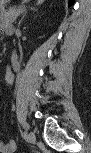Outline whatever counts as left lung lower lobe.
<instances>
[{
    "mask_svg": "<svg viewBox=\"0 0 91 153\" xmlns=\"http://www.w3.org/2000/svg\"><path fill=\"white\" fill-rule=\"evenodd\" d=\"M75 0H69V5L73 4Z\"/></svg>",
    "mask_w": 91,
    "mask_h": 153,
    "instance_id": "left-lung-lower-lobe-1",
    "label": "left lung lower lobe"
}]
</instances>
